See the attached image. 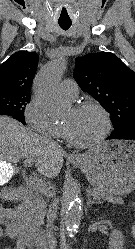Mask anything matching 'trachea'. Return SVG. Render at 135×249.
I'll return each mask as SVG.
<instances>
[{"instance_id": "3493384b", "label": "trachea", "mask_w": 135, "mask_h": 249, "mask_svg": "<svg viewBox=\"0 0 135 249\" xmlns=\"http://www.w3.org/2000/svg\"><path fill=\"white\" fill-rule=\"evenodd\" d=\"M59 25L63 30H68L70 26L72 25V23L71 22H59Z\"/></svg>"}]
</instances>
